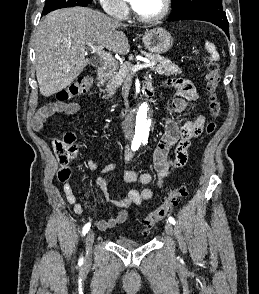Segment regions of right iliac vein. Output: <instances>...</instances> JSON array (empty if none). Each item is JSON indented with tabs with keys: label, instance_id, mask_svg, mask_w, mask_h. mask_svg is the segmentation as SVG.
I'll use <instances>...</instances> for the list:
<instances>
[{
	"label": "right iliac vein",
	"instance_id": "obj_1",
	"mask_svg": "<svg viewBox=\"0 0 259 294\" xmlns=\"http://www.w3.org/2000/svg\"><path fill=\"white\" fill-rule=\"evenodd\" d=\"M93 241H94V232L90 231L88 232L86 236V256L88 259L90 258V255H91Z\"/></svg>",
	"mask_w": 259,
	"mask_h": 294
}]
</instances>
